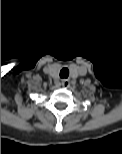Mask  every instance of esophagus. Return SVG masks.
<instances>
[{"mask_svg": "<svg viewBox=\"0 0 122 154\" xmlns=\"http://www.w3.org/2000/svg\"><path fill=\"white\" fill-rule=\"evenodd\" d=\"M61 84H62L63 87H66L67 88V87L70 86V81L68 79H63L61 81Z\"/></svg>", "mask_w": 122, "mask_h": 154, "instance_id": "34e87169", "label": "esophagus"}]
</instances>
